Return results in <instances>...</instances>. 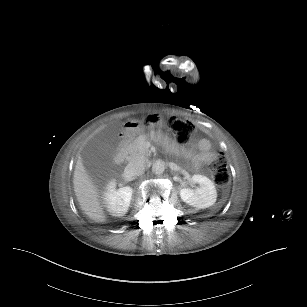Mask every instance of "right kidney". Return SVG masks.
I'll use <instances>...</instances> for the list:
<instances>
[{
    "instance_id": "1",
    "label": "right kidney",
    "mask_w": 307,
    "mask_h": 307,
    "mask_svg": "<svg viewBox=\"0 0 307 307\" xmlns=\"http://www.w3.org/2000/svg\"><path fill=\"white\" fill-rule=\"evenodd\" d=\"M132 195L133 189L131 187L126 186L115 190L113 184H111L106 194V202L109 211L115 216H123L126 214Z\"/></svg>"
}]
</instances>
